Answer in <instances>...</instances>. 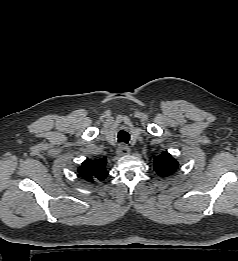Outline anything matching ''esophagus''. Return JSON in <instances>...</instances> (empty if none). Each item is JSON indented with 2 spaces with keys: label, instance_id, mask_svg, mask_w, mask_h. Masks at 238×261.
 <instances>
[{
  "label": "esophagus",
  "instance_id": "obj_1",
  "mask_svg": "<svg viewBox=\"0 0 238 261\" xmlns=\"http://www.w3.org/2000/svg\"><path fill=\"white\" fill-rule=\"evenodd\" d=\"M130 153V148L126 144L122 143L117 148L118 155H126Z\"/></svg>",
  "mask_w": 238,
  "mask_h": 261
}]
</instances>
